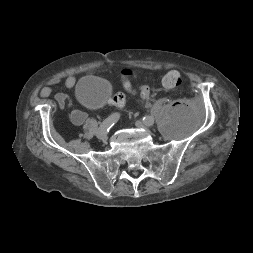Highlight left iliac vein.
Here are the masks:
<instances>
[{
    "label": "left iliac vein",
    "mask_w": 253,
    "mask_h": 253,
    "mask_svg": "<svg viewBox=\"0 0 253 253\" xmlns=\"http://www.w3.org/2000/svg\"><path fill=\"white\" fill-rule=\"evenodd\" d=\"M153 120H154V118H153ZM135 126L137 127V128H144L146 131H149L148 130V125L147 124H145L144 122H141V121H136L135 122Z\"/></svg>",
    "instance_id": "4c4485c4"
}]
</instances>
